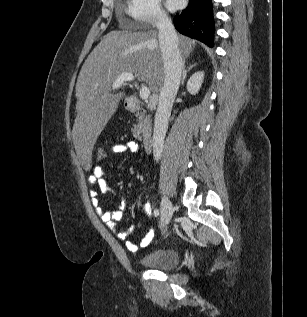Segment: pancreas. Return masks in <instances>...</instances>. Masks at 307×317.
<instances>
[{
  "label": "pancreas",
  "instance_id": "obj_1",
  "mask_svg": "<svg viewBox=\"0 0 307 317\" xmlns=\"http://www.w3.org/2000/svg\"><path fill=\"white\" fill-rule=\"evenodd\" d=\"M133 126L132 132L134 138L141 141L142 134L151 127V119L150 116L146 114V110L136 114V123Z\"/></svg>",
  "mask_w": 307,
  "mask_h": 317
}]
</instances>
